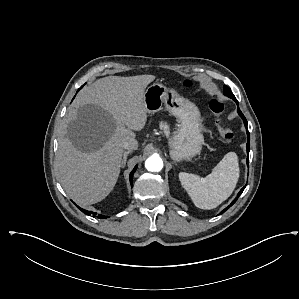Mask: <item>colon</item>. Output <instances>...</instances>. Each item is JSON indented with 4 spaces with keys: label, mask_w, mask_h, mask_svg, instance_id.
<instances>
[{
    "label": "colon",
    "mask_w": 299,
    "mask_h": 299,
    "mask_svg": "<svg viewBox=\"0 0 299 299\" xmlns=\"http://www.w3.org/2000/svg\"><path fill=\"white\" fill-rule=\"evenodd\" d=\"M185 85L191 86L192 82L190 80H187L185 81ZM209 107L216 117V128L219 137L223 141L230 142L234 138V133L232 129L229 126L225 125L222 121L221 116L224 111V104L217 99H213L210 101Z\"/></svg>",
    "instance_id": "5ec220e1"
}]
</instances>
